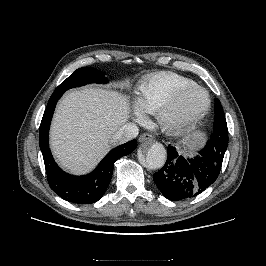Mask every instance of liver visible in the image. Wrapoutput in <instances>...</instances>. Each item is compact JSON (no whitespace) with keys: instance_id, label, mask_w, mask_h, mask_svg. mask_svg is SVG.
I'll use <instances>...</instances> for the list:
<instances>
[{"instance_id":"1","label":"liver","mask_w":266,"mask_h":266,"mask_svg":"<svg viewBox=\"0 0 266 266\" xmlns=\"http://www.w3.org/2000/svg\"><path fill=\"white\" fill-rule=\"evenodd\" d=\"M129 114L127 97L118 92L95 87L68 92L56 108L50 131L51 149L60 166L74 174L92 170Z\"/></svg>"}]
</instances>
